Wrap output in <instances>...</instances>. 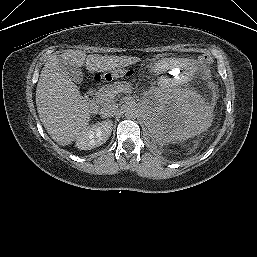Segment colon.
<instances>
[{"instance_id": "5ec220e1", "label": "colon", "mask_w": 257, "mask_h": 257, "mask_svg": "<svg viewBox=\"0 0 257 257\" xmlns=\"http://www.w3.org/2000/svg\"><path fill=\"white\" fill-rule=\"evenodd\" d=\"M199 61L205 66H211L213 64L212 57L207 54L200 55ZM133 73L131 70H113L99 75L98 78L103 81H111L117 78L130 77Z\"/></svg>"}]
</instances>
